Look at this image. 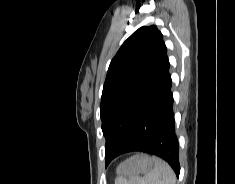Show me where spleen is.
<instances>
[{"mask_svg": "<svg viewBox=\"0 0 235 184\" xmlns=\"http://www.w3.org/2000/svg\"><path fill=\"white\" fill-rule=\"evenodd\" d=\"M154 168L148 172L143 178L139 176H132L129 182L124 178H117L116 184H176V176L167 162L161 158L153 156Z\"/></svg>", "mask_w": 235, "mask_h": 184, "instance_id": "obj_1", "label": "spleen"}]
</instances>
